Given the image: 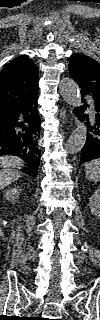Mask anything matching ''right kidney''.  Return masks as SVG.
<instances>
[{
  "label": "right kidney",
  "mask_w": 100,
  "mask_h": 320,
  "mask_svg": "<svg viewBox=\"0 0 100 320\" xmlns=\"http://www.w3.org/2000/svg\"><path fill=\"white\" fill-rule=\"evenodd\" d=\"M21 190L18 188V187H15V188H12V189H9L4 197L7 201H14L15 199H17V197L19 196V192Z\"/></svg>",
  "instance_id": "1"
}]
</instances>
